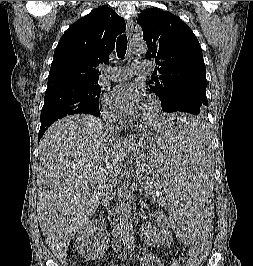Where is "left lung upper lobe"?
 Listing matches in <instances>:
<instances>
[{"label": "left lung upper lobe", "instance_id": "obj_1", "mask_svg": "<svg viewBox=\"0 0 253 266\" xmlns=\"http://www.w3.org/2000/svg\"><path fill=\"white\" fill-rule=\"evenodd\" d=\"M147 43L146 59H154L160 76L149 80L163 111L174 106L184 91L206 98V67L201 46L193 31L178 16L157 8L142 11L137 20ZM205 112L198 118L204 119Z\"/></svg>", "mask_w": 253, "mask_h": 266}]
</instances>
